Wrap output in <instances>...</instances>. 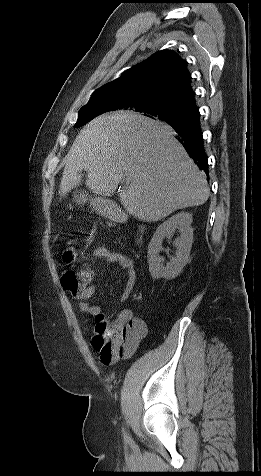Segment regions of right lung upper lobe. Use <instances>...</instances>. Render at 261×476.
Listing matches in <instances>:
<instances>
[{"mask_svg":"<svg viewBox=\"0 0 261 476\" xmlns=\"http://www.w3.org/2000/svg\"><path fill=\"white\" fill-rule=\"evenodd\" d=\"M113 96L119 110H136L159 103L187 111L196 107L186 63L173 51L162 50L95 90L89 102Z\"/></svg>","mask_w":261,"mask_h":476,"instance_id":"cb5924a9","label":"right lung upper lobe"}]
</instances>
